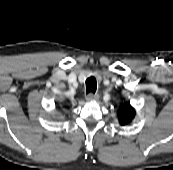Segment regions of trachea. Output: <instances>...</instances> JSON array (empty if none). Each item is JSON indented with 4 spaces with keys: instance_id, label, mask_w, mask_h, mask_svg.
<instances>
[{
    "instance_id": "3493384b",
    "label": "trachea",
    "mask_w": 173,
    "mask_h": 170,
    "mask_svg": "<svg viewBox=\"0 0 173 170\" xmlns=\"http://www.w3.org/2000/svg\"><path fill=\"white\" fill-rule=\"evenodd\" d=\"M85 83H86L87 94L96 92L97 81H96L95 77L91 76V77L87 78Z\"/></svg>"
}]
</instances>
